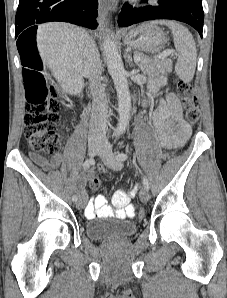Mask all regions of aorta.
<instances>
[{"mask_svg": "<svg viewBox=\"0 0 227 298\" xmlns=\"http://www.w3.org/2000/svg\"><path fill=\"white\" fill-rule=\"evenodd\" d=\"M103 47L108 72L113 79L117 92L119 113L117 132L122 133L129 123L131 110V97L128 87L127 72L124 69L122 58L118 52L116 44L109 37L105 38Z\"/></svg>", "mask_w": 227, "mask_h": 298, "instance_id": "1", "label": "aorta"}]
</instances>
